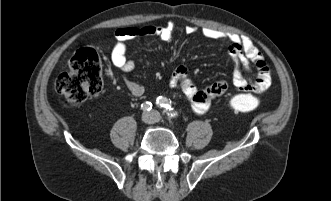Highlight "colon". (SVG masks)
Returning <instances> with one entry per match:
<instances>
[{"label":"colon","instance_id":"1","mask_svg":"<svg viewBox=\"0 0 331 201\" xmlns=\"http://www.w3.org/2000/svg\"><path fill=\"white\" fill-rule=\"evenodd\" d=\"M103 89L101 61L97 51L83 47L71 57L69 68L55 81V90L63 96L67 106H76L97 96ZM261 99L254 93L232 96L228 107L234 112H249L257 109Z\"/></svg>","mask_w":331,"mask_h":201}]
</instances>
